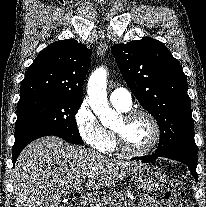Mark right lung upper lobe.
<instances>
[{
	"label": "right lung upper lobe",
	"instance_id": "cb5924a9",
	"mask_svg": "<svg viewBox=\"0 0 206 207\" xmlns=\"http://www.w3.org/2000/svg\"><path fill=\"white\" fill-rule=\"evenodd\" d=\"M90 56L91 50L74 39L50 44L27 69L20 100L42 95L81 100Z\"/></svg>",
	"mask_w": 206,
	"mask_h": 207
}]
</instances>
